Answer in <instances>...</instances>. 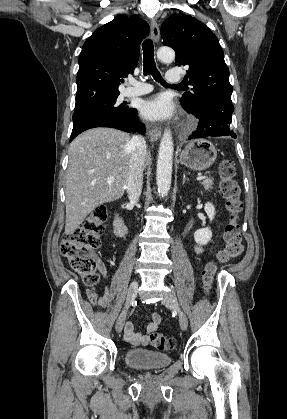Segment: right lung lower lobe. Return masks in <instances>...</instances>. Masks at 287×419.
<instances>
[{"mask_svg":"<svg viewBox=\"0 0 287 419\" xmlns=\"http://www.w3.org/2000/svg\"><path fill=\"white\" fill-rule=\"evenodd\" d=\"M137 110L133 109L127 116L102 115L90 118L73 127L70 141L81 132L95 127H110L125 132L145 133V126L138 121Z\"/></svg>","mask_w":287,"mask_h":419,"instance_id":"right-lung-lower-lobe-1","label":"right lung lower lobe"}]
</instances>
